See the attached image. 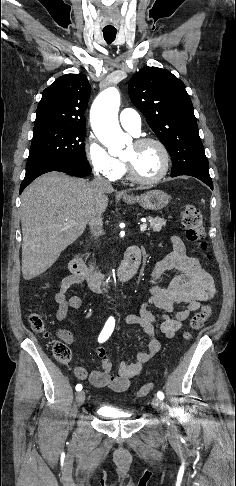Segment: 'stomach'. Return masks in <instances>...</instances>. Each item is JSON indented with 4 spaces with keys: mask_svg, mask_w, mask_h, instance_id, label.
Here are the masks:
<instances>
[{
    "mask_svg": "<svg viewBox=\"0 0 236 486\" xmlns=\"http://www.w3.org/2000/svg\"><path fill=\"white\" fill-rule=\"evenodd\" d=\"M125 201L129 204L139 203L145 209L158 211L167 206L169 196L164 191L151 190L140 196L127 197Z\"/></svg>",
    "mask_w": 236,
    "mask_h": 486,
    "instance_id": "1",
    "label": "stomach"
}]
</instances>
